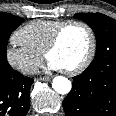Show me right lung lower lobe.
<instances>
[{
  "instance_id": "obj_1",
  "label": "right lung lower lobe",
  "mask_w": 116,
  "mask_h": 116,
  "mask_svg": "<svg viewBox=\"0 0 116 116\" xmlns=\"http://www.w3.org/2000/svg\"><path fill=\"white\" fill-rule=\"evenodd\" d=\"M32 78L18 71L0 78V116H25L30 108Z\"/></svg>"
}]
</instances>
